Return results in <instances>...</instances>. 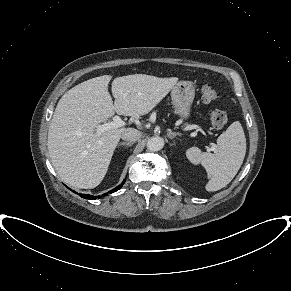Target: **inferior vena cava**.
Instances as JSON below:
<instances>
[{
	"mask_svg": "<svg viewBox=\"0 0 291 291\" xmlns=\"http://www.w3.org/2000/svg\"><path fill=\"white\" fill-rule=\"evenodd\" d=\"M141 136L142 133L140 131L134 128H128L126 131L122 133L121 138L128 142H136L141 138Z\"/></svg>",
	"mask_w": 291,
	"mask_h": 291,
	"instance_id": "602c4592",
	"label": "inferior vena cava"
}]
</instances>
